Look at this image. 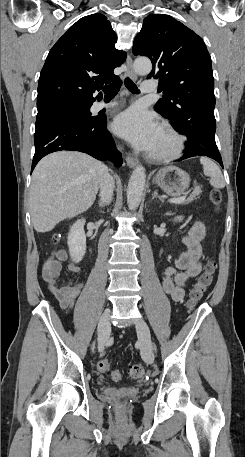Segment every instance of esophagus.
<instances>
[{"label": "esophagus", "instance_id": "1", "mask_svg": "<svg viewBox=\"0 0 245 457\" xmlns=\"http://www.w3.org/2000/svg\"><path fill=\"white\" fill-rule=\"evenodd\" d=\"M126 66H127V69L125 72V76L130 77L132 80H137V74L134 71L133 61H132V58L130 57V55H128V57H127ZM125 160H126L127 165L130 168H133L138 164L137 158L129 157L128 155L125 157Z\"/></svg>", "mask_w": 245, "mask_h": 457}]
</instances>
